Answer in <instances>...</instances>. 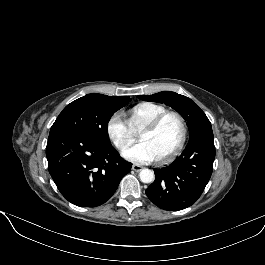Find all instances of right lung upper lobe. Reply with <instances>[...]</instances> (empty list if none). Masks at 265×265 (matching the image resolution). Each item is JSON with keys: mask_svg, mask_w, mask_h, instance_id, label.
Wrapping results in <instances>:
<instances>
[{"mask_svg": "<svg viewBox=\"0 0 265 265\" xmlns=\"http://www.w3.org/2000/svg\"><path fill=\"white\" fill-rule=\"evenodd\" d=\"M90 96L96 97L104 102L107 103H119V102H123L127 99H130L128 96H123V97H111V96H106V95H102V94H88Z\"/></svg>", "mask_w": 265, "mask_h": 265, "instance_id": "obj_1", "label": "right lung upper lobe"}]
</instances>
